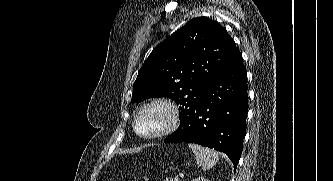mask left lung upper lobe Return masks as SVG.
<instances>
[{
  "label": "left lung upper lobe",
  "mask_w": 333,
  "mask_h": 181,
  "mask_svg": "<svg viewBox=\"0 0 333 181\" xmlns=\"http://www.w3.org/2000/svg\"><path fill=\"white\" fill-rule=\"evenodd\" d=\"M238 54L225 28L196 17L151 52L134 82L131 102L169 97L180 105L181 116L200 102L209 82Z\"/></svg>",
  "instance_id": "left-lung-upper-lobe-1"
}]
</instances>
